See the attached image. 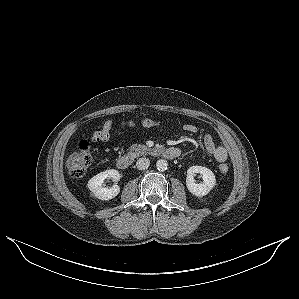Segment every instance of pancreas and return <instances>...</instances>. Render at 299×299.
Returning a JSON list of instances; mask_svg holds the SVG:
<instances>
[{"label":"pancreas","instance_id":"cf45deb5","mask_svg":"<svg viewBox=\"0 0 299 299\" xmlns=\"http://www.w3.org/2000/svg\"><path fill=\"white\" fill-rule=\"evenodd\" d=\"M151 152H152L151 148H148L147 146L141 144H133L129 148V153L133 157H138L140 155H147L150 154Z\"/></svg>","mask_w":299,"mask_h":299}]
</instances>
